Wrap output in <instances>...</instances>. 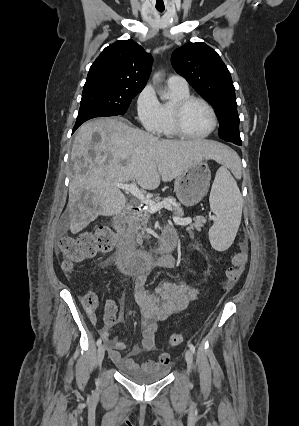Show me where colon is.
Masks as SVG:
<instances>
[{
	"label": "colon",
	"instance_id": "1",
	"mask_svg": "<svg viewBox=\"0 0 299 426\" xmlns=\"http://www.w3.org/2000/svg\"><path fill=\"white\" fill-rule=\"evenodd\" d=\"M116 241V234L109 226H100L93 232L83 233L75 238L62 237L59 240V248L63 255V266L66 270H70L97 254L110 252L115 247ZM246 258V247L242 244L234 258L233 266L226 271L225 289H230L238 282L244 271ZM83 302L89 313H93L98 305L94 294H86ZM167 342L170 346H178L184 342V336L172 334Z\"/></svg>",
	"mask_w": 299,
	"mask_h": 426
}]
</instances>
